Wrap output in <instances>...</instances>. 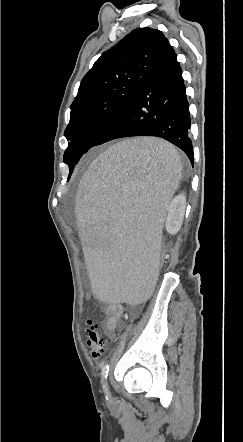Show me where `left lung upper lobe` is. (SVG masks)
I'll list each match as a JSON object with an SVG mask.
<instances>
[{
    "label": "left lung upper lobe",
    "mask_w": 243,
    "mask_h": 442,
    "mask_svg": "<svg viewBox=\"0 0 243 442\" xmlns=\"http://www.w3.org/2000/svg\"><path fill=\"white\" fill-rule=\"evenodd\" d=\"M168 44L161 31L138 28L104 52L81 81L64 132L71 175L80 157L111 130Z\"/></svg>",
    "instance_id": "5c2ea615"
}]
</instances>
